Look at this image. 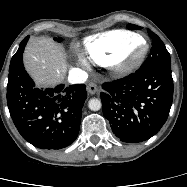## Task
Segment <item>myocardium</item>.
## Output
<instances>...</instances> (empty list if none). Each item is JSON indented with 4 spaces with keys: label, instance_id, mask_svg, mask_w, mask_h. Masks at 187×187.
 Here are the masks:
<instances>
[{
    "label": "myocardium",
    "instance_id": "1",
    "mask_svg": "<svg viewBox=\"0 0 187 187\" xmlns=\"http://www.w3.org/2000/svg\"><path fill=\"white\" fill-rule=\"evenodd\" d=\"M148 51L149 45L142 39L139 43L128 47L110 66L117 73H130L142 65L147 57Z\"/></svg>",
    "mask_w": 187,
    "mask_h": 187
}]
</instances>
